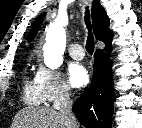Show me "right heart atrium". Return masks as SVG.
<instances>
[{
  "label": "right heart atrium",
  "mask_w": 142,
  "mask_h": 128,
  "mask_svg": "<svg viewBox=\"0 0 142 128\" xmlns=\"http://www.w3.org/2000/svg\"><path fill=\"white\" fill-rule=\"evenodd\" d=\"M35 80L44 102L56 104L69 98V88L57 71L39 65Z\"/></svg>",
  "instance_id": "right-heart-atrium-1"
}]
</instances>
